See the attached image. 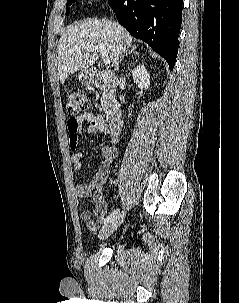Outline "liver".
Here are the masks:
<instances>
[{
  "label": "liver",
  "instance_id": "6515ba94",
  "mask_svg": "<svg viewBox=\"0 0 239 303\" xmlns=\"http://www.w3.org/2000/svg\"><path fill=\"white\" fill-rule=\"evenodd\" d=\"M132 36L119 24L108 20L90 19L70 26L58 44V78L63 84L69 75L84 71L98 59L91 46H105L112 65L122 52L132 47Z\"/></svg>",
  "mask_w": 239,
  "mask_h": 303
}]
</instances>
